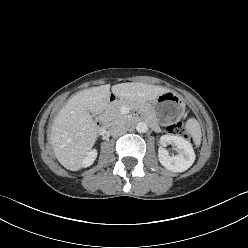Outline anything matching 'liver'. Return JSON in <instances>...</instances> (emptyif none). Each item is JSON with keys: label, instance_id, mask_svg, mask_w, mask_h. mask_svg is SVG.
Returning <instances> with one entry per match:
<instances>
[{"label": "liver", "instance_id": "liver-1", "mask_svg": "<svg viewBox=\"0 0 248 248\" xmlns=\"http://www.w3.org/2000/svg\"><path fill=\"white\" fill-rule=\"evenodd\" d=\"M110 84L92 87L72 96L60 110L51 129L50 142L55 157L68 170L77 171L98 137L90 113L100 114L108 106ZM168 89L139 82L112 86V93L129 103H145Z\"/></svg>", "mask_w": 248, "mask_h": 248}]
</instances>
